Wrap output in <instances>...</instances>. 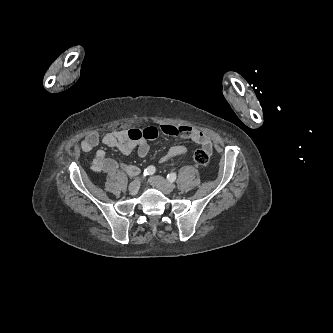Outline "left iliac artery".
<instances>
[{"mask_svg":"<svg viewBox=\"0 0 333 333\" xmlns=\"http://www.w3.org/2000/svg\"><path fill=\"white\" fill-rule=\"evenodd\" d=\"M176 173H171V174H168L167 175V179L170 181V182H174L176 180Z\"/></svg>","mask_w":333,"mask_h":333,"instance_id":"1","label":"left iliac artery"}]
</instances>
